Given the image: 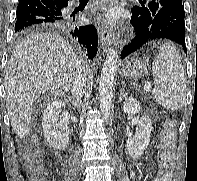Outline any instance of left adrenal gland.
<instances>
[{
  "mask_svg": "<svg viewBox=\"0 0 197 181\" xmlns=\"http://www.w3.org/2000/svg\"><path fill=\"white\" fill-rule=\"evenodd\" d=\"M127 94L124 92L123 88L120 90V95H119V102L123 100V98H126Z\"/></svg>",
  "mask_w": 197,
  "mask_h": 181,
  "instance_id": "left-adrenal-gland-1",
  "label": "left adrenal gland"
}]
</instances>
